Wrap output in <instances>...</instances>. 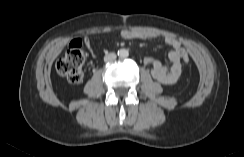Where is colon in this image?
I'll return each instance as SVG.
<instances>
[{
  "instance_id": "obj_1",
  "label": "colon",
  "mask_w": 244,
  "mask_h": 157,
  "mask_svg": "<svg viewBox=\"0 0 244 157\" xmlns=\"http://www.w3.org/2000/svg\"><path fill=\"white\" fill-rule=\"evenodd\" d=\"M81 47L82 43L80 40L72 42L65 55L58 60L56 65L58 73L72 83L81 82L84 76L83 64L85 56ZM182 60L186 64L189 63L190 57L187 52L182 55Z\"/></svg>"
}]
</instances>
